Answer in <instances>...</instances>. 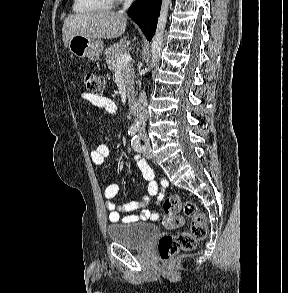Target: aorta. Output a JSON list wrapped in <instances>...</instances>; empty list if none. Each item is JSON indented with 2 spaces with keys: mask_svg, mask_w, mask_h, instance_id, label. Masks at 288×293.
I'll use <instances>...</instances> for the list:
<instances>
[{
  "mask_svg": "<svg viewBox=\"0 0 288 293\" xmlns=\"http://www.w3.org/2000/svg\"><path fill=\"white\" fill-rule=\"evenodd\" d=\"M170 6H171V0L162 1L161 11L158 18L157 30L151 44V54H152L151 67L152 68L157 64L159 60L160 52L163 45V34H164Z\"/></svg>",
  "mask_w": 288,
  "mask_h": 293,
  "instance_id": "762f6f07",
  "label": "aorta"
}]
</instances>
